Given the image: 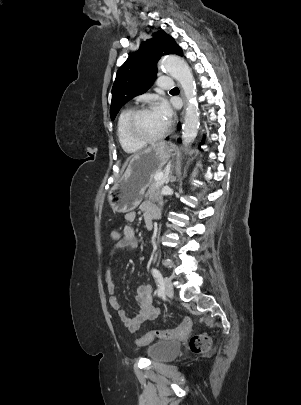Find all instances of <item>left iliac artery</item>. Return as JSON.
Wrapping results in <instances>:
<instances>
[{
  "label": "left iliac artery",
  "instance_id": "44dca946",
  "mask_svg": "<svg viewBox=\"0 0 301 405\" xmlns=\"http://www.w3.org/2000/svg\"><path fill=\"white\" fill-rule=\"evenodd\" d=\"M152 275L158 284V296L164 295V282L160 271L157 268H152Z\"/></svg>",
  "mask_w": 301,
  "mask_h": 405
}]
</instances>
